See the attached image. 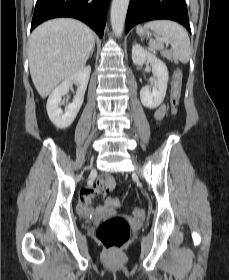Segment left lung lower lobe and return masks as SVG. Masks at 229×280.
<instances>
[{"label": "left lung lower lobe", "instance_id": "1", "mask_svg": "<svg viewBox=\"0 0 229 280\" xmlns=\"http://www.w3.org/2000/svg\"><path fill=\"white\" fill-rule=\"evenodd\" d=\"M157 19L177 21L191 33L185 0H130L126 33L139 23Z\"/></svg>", "mask_w": 229, "mask_h": 280}]
</instances>
